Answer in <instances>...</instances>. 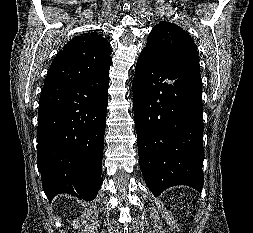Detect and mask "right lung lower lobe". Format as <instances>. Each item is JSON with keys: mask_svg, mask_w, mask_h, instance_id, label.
<instances>
[{"mask_svg": "<svg viewBox=\"0 0 253 233\" xmlns=\"http://www.w3.org/2000/svg\"><path fill=\"white\" fill-rule=\"evenodd\" d=\"M109 70L44 83L37 164L49 200L67 193L93 200L101 186Z\"/></svg>", "mask_w": 253, "mask_h": 233, "instance_id": "1", "label": "right lung lower lobe"}]
</instances>
